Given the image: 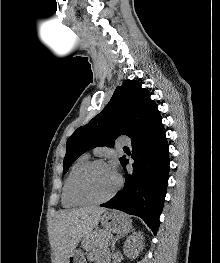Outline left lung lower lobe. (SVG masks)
<instances>
[{
  "label": "left lung lower lobe",
  "mask_w": 220,
  "mask_h": 263,
  "mask_svg": "<svg viewBox=\"0 0 220 263\" xmlns=\"http://www.w3.org/2000/svg\"><path fill=\"white\" fill-rule=\"evenodd\" d=\"M132 147L133 170L127 172L128 160L121 163L125 171L123 190L100 206L139 216L156 234L169 177L168 143L162 118L132 140Z\"/></svg>",
  "instance_id": "obj_1"
}]
</instances>
